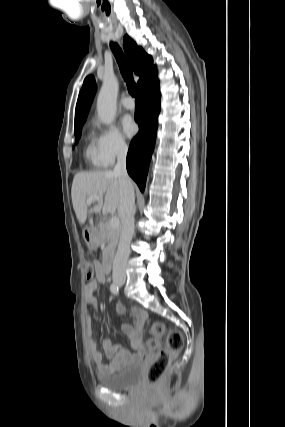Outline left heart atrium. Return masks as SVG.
I'll list each match as a JSON object with an SVG mask.
<instances>
[{
	"label": "left heart atrium",
	"instance_id": "obj_1",
	"mask_svg": "<svg viewBox=\"0 0 285 427\" xmlns=\"http://www.w3.org/2000/svg\"><path fill=\"white\" fill-rule=\"evenodd\" d=\"M122 127L124 133L128 137H132L137 131V125L130 116H126L122 120Z\"/></svg>",
	"mask_w": 285,
	"mask_h": 427
}]
</instances>
